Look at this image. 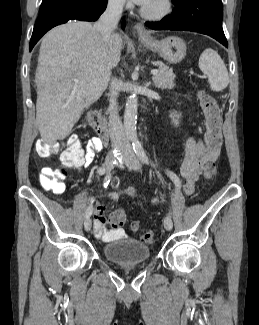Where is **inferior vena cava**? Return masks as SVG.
Masks as SVG:
<instances>
[{
  "label": "inferior vena cava",
  "mask_w": 259,
  "mask_h": 325,
  "mask_svg": "<svg viewBox=\"0 0 259 325\" xmlns=\"http://www.w3.org/2000/svg\"><path fill=\"white\" fill-rule=\"evenodd\" d=\"M125 0H110L105 12L94 24V28L101 34L107 43L117 27L124 6ZM109 134L113 148H126L129 146L126 139L122 121L119 117L117 97L118 91L114 81L109 88Z\"/></svg>",
  "instance_id": "602c4592"
}]
</instances>
